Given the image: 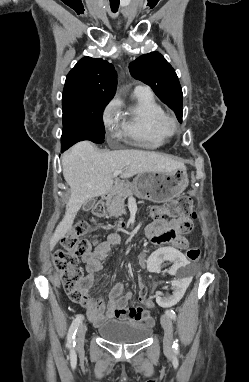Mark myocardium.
Instances as JSON below:
<instances>
[{
    "label": "myocardium",
    "mask_w": 249,
    "mask_h": 382,
    "mask_svg": "<svg viewBox=\"0 0 249 382\" xmlns=\"http://www.w3.org/2000/svg\"><path fill=\"white\" fill-rule=\"evenodd\" d=\"M164 124L171 135L177 133L179 130V122L176 117L172 115L165 114Z\"/></svg>",
    "instance_id": "f54148a6"
}]
</instances>
